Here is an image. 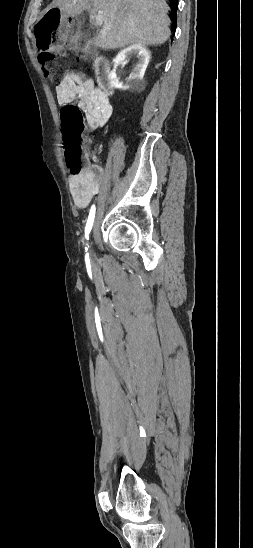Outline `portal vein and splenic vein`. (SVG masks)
I'll list each match as a JSON object with an SVG mask.
<instances>
[{"label":"portal vein and splenic vein","instance_id":"obj_1","mask_svg":"<svg viewBox=\"0 0 253 548\" xmlns=\"http://www.w3.org/2000/svg\"><path fill=\"white\" fill-rule=\"evenodd\" d=\"M97 20L102 21V16L101 15L97 16Z\"/></svg>","mask_w":253,"mask_h":548}]
</instances>
